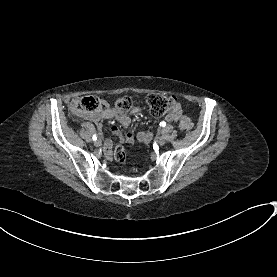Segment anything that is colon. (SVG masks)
Instances as JSON below:
<instances>
[{"mask_svg": "<svg viewBox=\"0 0 277 277\" xmlns=\"http://www.w3.org/2000/svg\"><path fill=\"white\" fill-rule=\"evenodd\" d=\"M150 113L155 117H162L168 112H178L176 102L173 97L160 93H149L143 98ZM116 111L125 115L132 108L133 101L131 97L124 96L114 101ZM79 104L77 101L74 103ZM81 107L93 114H100L104 110V103L98 98L97 94H86L81 101ZM179 128L182 132H189L192 128V121L185 115L179 116ZM114 158L118 163L126 161V153L123 144L117 145L114 150Z\"/></svg>", "mask_w": 277, "mask_h": 277, "instance_id": "5ec220e1", "label": "colon"}]
</instances>
